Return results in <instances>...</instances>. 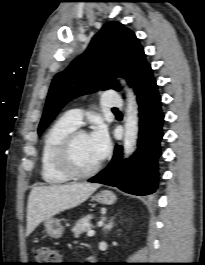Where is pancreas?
I'll return each instance as SVG.
<instances>
[{
    "label": "pancreas",
    "mask_w": 205,
    "mask_h": 265,
    "mask_svg": "<svg viewBox=\"0 0 205 265\" xmlns=\"http://www.w3.org/2000/svg\"><path fill=\"white\" fill-rule=\"evenodd\" d=\"M92 219V215L88 214L81 219H79L74 227L72 228V232L74 233L75 237L77 238L81 233L86 232L91 229L90 220Z\"/></svg>",
    "instance_id": "pancreas-1"
}]
</instances>
